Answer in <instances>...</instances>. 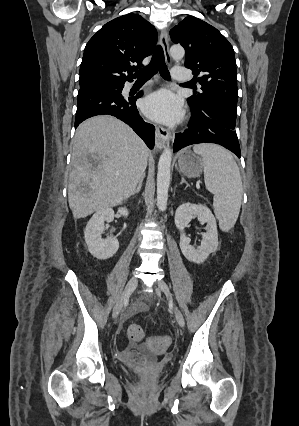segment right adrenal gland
Masks as SVG:
<instances>
[{"mask_svg":"<svg viewBox=\"0 0 299 426\" xmlns=\"http://www.w3.org/2000/svg\"><path fill=\"white\" fill-rule=\"evenodd\" d=\"M144 178H145V174L139 180L138 185H137L136 189L133 192V195L138 194L141 191Z\"/></svg>","mask_w":299,"mask_h":426,"instance_id":"obj_1","label":"right adrenal gland"}]
</instances>
